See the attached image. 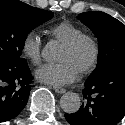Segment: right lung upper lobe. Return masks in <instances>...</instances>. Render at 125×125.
<instances>
[{
	"label": "right lung upper lobe",
	"instance_id": "obj_1",
	"mask_svg": "<svg viewBox=\"0 0 125 125\" xmlns=\"http://www.w3.org/2000/svg\"><path fill=\"white\" fill-rule=\"evenodd\" d=\"M1 1L13 4L18 9H25L27 6H29L23 2L18 1V0H1Z\"/></svg>",
	"mask_w": 125,
	"mask_h": 125
}]
</instances>
